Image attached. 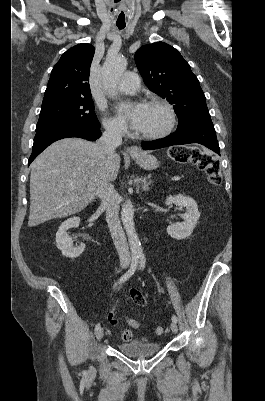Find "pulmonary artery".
I'll use <instances>...</instances> for the list:
<instances>
[{"mask_svg":"<svg viewBox=\"0 0 265 401\" xmlns=\"http://www.w3.org/2000/svg\"><path fill=\"white\" fill-rule=\"evenodd\" d=\"M139 77L136 72H127L125 81H119L117 88L121 90L123 95H135L139 88Z\"/></svg>","mask_w":265,"mask_h":401,"instance_id":"1","label":"pulmonary artery"}]
</instances>
